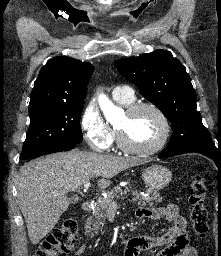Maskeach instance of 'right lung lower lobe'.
Masks as SVG:
<instances>
[{
    "instance_id": "98d812e1",
    "label": "right lung lower lobe",
    "mask_w": 221,
    "mask_h": 256,
    "mask_svg": "<svg viewBox=\"0 0 221 256\" xmlns=\"http://www.w3.org/2000/svg\"><path fill=\"white\" fill-rule=\"evenodd\" d=\"M76 143H70V142H63V143H57L53 145L46 146L42 149H40L38 152H35L31 154L30 156L24 158V160L27 159H33L42 155L50 154V153H55V152H60V151H65V150H70L74 148Z\"/></svg>"
}]
</instances>
